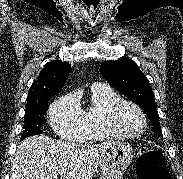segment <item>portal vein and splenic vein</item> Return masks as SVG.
<instances>
[{
  "label": "portal vein and splenic vein",
  "mask_w": 183,
  "mask_h": 179,
  "mask_svg": "<svg viewBox=\"0 0 183 179\" xmlns=\"http://www.w3.org/2000/svg\"><path fill=\"white\" fill-rule=\"evenodd\" d=\"M60 175H66L67 174V171L66 170H62L59 172Z\"/></svg>",
  "instance_id": "obj_1"
}]
</instances>
